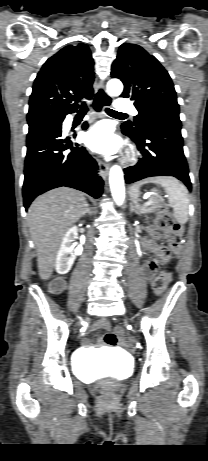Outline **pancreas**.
Masks as SVG:
<instances>
[{"label":"pancreas","instance_id":"1","mask_svg":"<svg viewBox=\"0 0 208 461\" xmlns=\"http://www.w3.org/2000/svg\"><path fill=\"white\" fill-rule=\"evenodd\" d=\"M152 200H154V199H152ZM154 201H156V200H154ZM156 202H157V201H156ZM160 207H161V206H160L159 204H152V205L149 207V209H147V210H148V212H149V211H155V210L159 209Z\"/></svg>","mask_w":208,"mask_h":461}]
</instances>
